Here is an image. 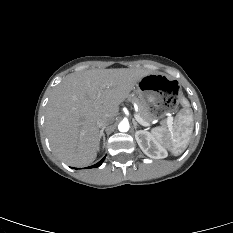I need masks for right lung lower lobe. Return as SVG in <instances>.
<instances>
[{
    "label": "right lung lower lobe",
    "mask_w": 233,
    "mask_h": 233,
    "mask_svg": "<svg viewBox=\"0 0 233 233\" xmlns=\"http://www.w3.org/2000/svg\"><path fill=\"white\" fill-rule=\"evenodd\" d=\"M104 159H105V157L101 161H99L97 164H94L93 166H91L89 168L99 167L102 164V162L104 161Z\"/></svg>",
    "instance_id": "1"
}]
</instances>
